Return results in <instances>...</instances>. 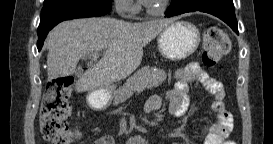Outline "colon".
<instances>
[{"mask_svg":"<svg viewBox=\"0 0 273 144\" xmlns=\"http://www.w3.org/2000/svg\"><path fill=\"white\" fill-rule=\"evenodd\" d=\"M202 62L213 67L228 52L230 43L225 31L218 25H209L203 35ZM73 78L60 77L52 80L47 88L40 111V130L45 141L53 144L75 143L78 135L68 125L71 114L69 94Z\"/></svg>","mask_w":273,"mask_h":144,"instance_id":"5ec220e1","label":"colon"}]
</instances>
